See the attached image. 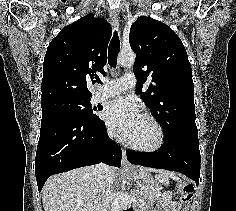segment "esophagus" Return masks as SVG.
<instances>
[{
	"instance_id": "34e87169",
	"label": "esophagus",
	"mask_w": 236,
	"mask_h": 211,
	"mask_svg": "<svg viewBox=\"0 0 236 211\" xmlns=\"http://www.w3.org/2000/svg\"><path fill=\"white\" fill-rule=\"evenodd\" d=\"M110 18L112 23L117 27V30L119 31L120 34V28H119V15L117 11L111 10L110 11ZM131 165L129 164L126 156V151L122 149V167L127 168L130 167Z\"/></svg>"
}]
</instances>
